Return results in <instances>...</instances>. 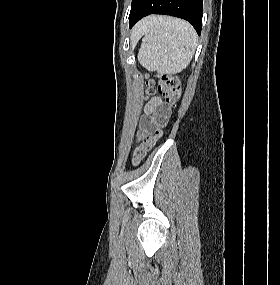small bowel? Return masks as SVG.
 Here are the masks:
<instances>
[{
  "mask_svg": "<svg viewBox=\"0 0 280 285\" xmlns=\"http://www.w3.org/2000/svg\"><path fill=\"white\" fill-rule=\"evenodd\" d=\"M146 117L142 122L139 137L144 136L150 126L158 120L165 121L169 114V109L165 107L160 98H153L145 107Z\"/></svg>",
  "mask_w": 280,
  "mask_h": 285,
  "instance_id": "small-bowel-1",
  "label": "small bowel"
}]
</instances>
